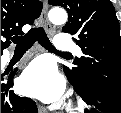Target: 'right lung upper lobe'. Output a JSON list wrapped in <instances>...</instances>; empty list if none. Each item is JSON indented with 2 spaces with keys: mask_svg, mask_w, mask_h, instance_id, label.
<instances>
[{
  "mask_svg": "<svg viewBox=\"0 0 121 113\" xmlns=\"http://www.w3.org/2000/svg\"><path fill=\"white\" fill-rule=\"evenodd\" d=\"M41 10L42 3L38 0H1V52L10 45L7 38L22 35V27L32 24Z\"/></svg>",
  "mask_w": 121,
  "mask_h": 113,
  "instance_id": "cb5924a9",
  "label": "right lung upper lobe"
}]
</instances>
